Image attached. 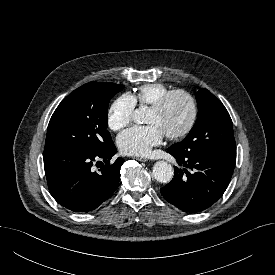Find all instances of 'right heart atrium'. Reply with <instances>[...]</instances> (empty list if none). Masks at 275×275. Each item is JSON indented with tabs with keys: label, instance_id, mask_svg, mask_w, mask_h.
I'll list each match as a JSON object with an SVG mask.
<instances>
[{
	"label": "right heart atrium",
	"instance_id": "d8ad5b80",
	"mask_svg": "<svg viewBox=\"0 0 275 275\" xmlns=\"http://www.w3.org/2000/svg\"><path fill=\"white\" fill-rule=\"evenodd\" d=\"M135 101L130 94H122L110 105L107 123L111 130L119 131L131 123L135 110Z\"/></svg>",
	"mask_w": 275,
	"mask_h": 275
}]
</instances>
